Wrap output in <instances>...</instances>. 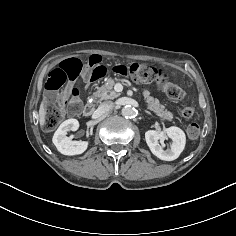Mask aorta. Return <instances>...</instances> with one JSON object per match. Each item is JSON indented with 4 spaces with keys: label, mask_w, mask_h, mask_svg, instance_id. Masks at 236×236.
<instances>
[{
    "label": "aorta",
    "mask_w": 236,
    "mask_h": 236,
    "mask_svg": "<svg viewBox=\"0 0 236 236\" xmlns=\"http://www.w3.org/2000/svg\"><path fill=\"white\" fill-rule=\"evenodd\" d=\"M121 113L126 118H131L135 114V109L132 106H125L122 108Z\"/></svg>",
    "instance_id": "1"
}]
</instances>
